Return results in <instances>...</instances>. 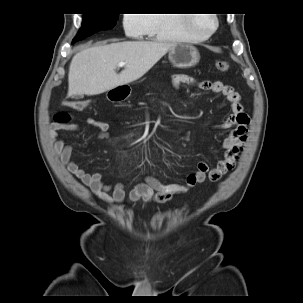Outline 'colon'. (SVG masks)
Returning a JSON list of instances; mask_svg holds the SVG:
<instances>
[{"mask_svg": "<svg viewBox=\"0 0 303 303\" xmlns=\"http://www.w3.org/2000/svg\"><path fill=\"white\" fill-rule=\"evenodd\" d=\"M216 68L221 73H226L229 70V64L225 60H219L216 62ZM89 102H83V101H72L69 102V106L73 109L82 110L87 107ZM71 120V116L66 113L62 112L59 113L56 117V121L59 123H67Z\"/></svg>", "mask_w": 303, "mask_h": 303, "instance_id": "1", "label": "colon"}]
</instances>
